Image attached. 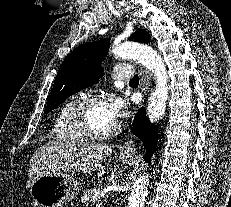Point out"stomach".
Here are the masks:
<instances>
[{
    "instance_id": "1",
    "label": "stomach",
    "mask_w": 231,
    "mask_h": 207,
    "mask_svg": "<svg viewBox=\"0 0 231 207\" xmlns=\"http://www.w3.org/2000/svg\"><path fill=\"white\" fill-rule=\"evenodd\" d=\"M121 159L128 165L133 159L126 154ZM78 182L64 172H47L35 179L30 187V194L40 207H61L71 202L79 194Z\"/></svg>"
}]
</instances>
